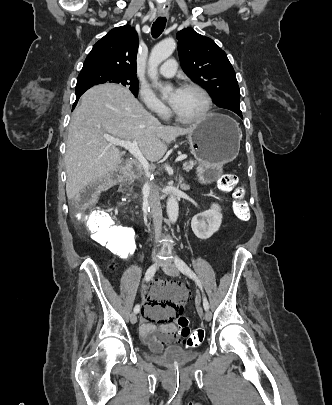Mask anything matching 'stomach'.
Returning a JSON list of instances; mask_svg holds the SVG:
<instances>
[{"label":"stomach","mask_w":332,"mask_h":405,"mask_svg":"<svg viewBox=\"0 0 332 405\" xmlns=\"http://www.w3.org/2000/svg\"><path fill=\"white\" fill-rule=\"evenodd\" d=\"M241 133L238 124L223 114H209L188 134L191 153L200 164L201 178L215 180L224 164L239 153Z\"/></svg>","instance_id":"0dacf381"}]
</instances>
